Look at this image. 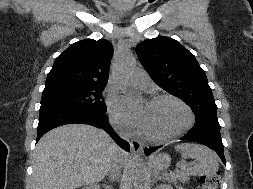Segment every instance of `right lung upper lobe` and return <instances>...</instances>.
<instances>
[{
	"label": "right lung upper lobe",
	"instance_id": "obj_1",
	"mask_svg": "<svg viewBox=\"0 0 253 189\" xmlns=\"http://www.w3.org/2000/svg\"><path fill=\"white\" fill-rule=\"evenodd\" d=\"M112 55V44L104 39H86L72 44L56 58L45 89L60 86L105 87Z\"/></svg>",
	"mask_w": 253,
	"mask_h": 189
}]
</instances>
